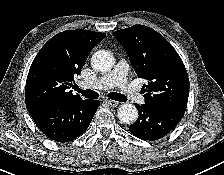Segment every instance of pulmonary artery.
Returning a JSON list of instances; mask_svg holds the SVG:
<instances>
[{
    "label": "pulmonary artery",
    "mask_w": 224,
    "mask_h": 175,
    "mask_svg": "<svg viewBox=\"0 0 224 175\" xmlns=\"http://www.w3.org/2000/svg\"><path fill=\"white\" fill-rule=\"evenodd\" d=\"M129 66L126 61L120 60L112 71L98 77L92 81H83L79 85L84 89L104 90L112 87H119L125 96L139 103L144 102V98L128 82Z\"/></svg>",
    "instance_id": "e3ab8cb5"
}]
</instances>
